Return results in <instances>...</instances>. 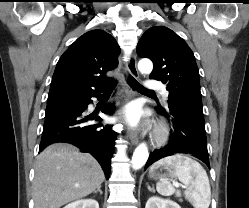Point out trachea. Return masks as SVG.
<instances>
[{
    "label": "trachea",
    "mask_w": 249,
    "mask_h": 208,
    "mask_svg": "<svg viewBox=\"0 0 249 208\" xmlns=\"http://www.w3.org/2000/svg\"><path fill=\"white\" fill-rule=\"evenodd\" d=\"M129 85L133 90H137L141 93L145 94H155L154 91L147 90L141 84H139L133 77H129ZM115 87V83L107 84L105 88V92H112Z\"/></svg>",
    "instance_id": "1"
}]
</instances>
